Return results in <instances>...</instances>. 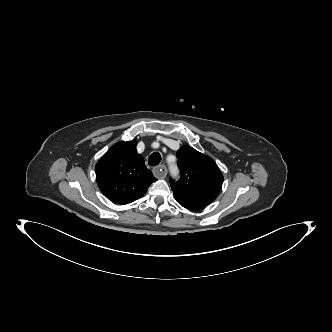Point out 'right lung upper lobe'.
<instances>
[{
	"label": "right lung upper lobe",
	"mask_w": 332,
	"mask_h": 332,
	"mask_svg": "<svg viewBox=\"0 0 332 332\" xmlns=\"http://www.w3.org/2000/svg\"><path fill=\"white\" fill-rule=\"evenodd\" d=\"M137 142L114 144L97 162L96 181L102 193L118 204L139 199L157 179L137 153Z\"/></svg>",
	"instance_id": "cb5924a9"
}]
</instances>
